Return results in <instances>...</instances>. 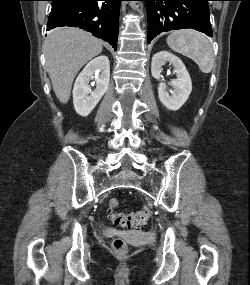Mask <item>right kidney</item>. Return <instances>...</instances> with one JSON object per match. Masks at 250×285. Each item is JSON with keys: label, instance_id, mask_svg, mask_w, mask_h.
I'll list each match as a JSON object with an SVG mask.
<instances>
[{"label": "right kidney", "instance_id": "obj_1", "mask_svg": "<svg viewBox=\"0 0 250 285\" xmlns=\"http://www.w3.org/2000/svg\"><path fill=\"white\" fill-rule=\"evenodd\" d=\"M94 78L96 88L92 91L89 83ZM109 81L110 62L108 57L101 55L91 60L74 83L73 103L75 111L83 117L88 116L107 92Z\"/></svg>", "mask_w": 250, "mask_h": 285}]
</instances>
